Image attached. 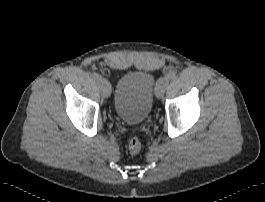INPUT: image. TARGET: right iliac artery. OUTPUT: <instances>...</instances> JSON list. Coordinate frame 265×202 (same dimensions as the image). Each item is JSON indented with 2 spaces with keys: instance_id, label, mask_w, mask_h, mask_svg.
Here are the masks:
<instances>
[{
  "instance_id": "obj_1",
  "label": "right iliac artery",
  "mask_w": 265,
  "mask_h": 202,
  "mask_svg": "<svg viewBox=\"0 0 265 202\" xmlns=\"http://www.w3.org/2000/svg\"><path fill=\"white\" fill-rule=\"evenodd\" d=\"M91 77L95 81H98L101 78V76L98 73H96V72L92 73Z\"/></svg>"
}]
</instances>
